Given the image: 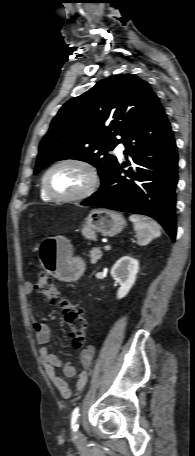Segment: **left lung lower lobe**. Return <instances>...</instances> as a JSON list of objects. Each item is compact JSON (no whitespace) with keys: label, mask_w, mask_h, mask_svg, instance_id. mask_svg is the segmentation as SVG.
Returning <instances> with one entry per match:
<instances>
[{"label":"left lung lower lobe","mask_w":195,"mask_h":456,"mask_svg":"<svg viewBox=\"0 0 195 456\" xmlns=\"http://www.w3.org/2000/svg\"><path fill=\"white\" fill-rule=\"evenodd\" d=\"M135 167L117 162L100 189L81 204L143 214L176 237L175 189L178 155L171 125L158 97L129 129L123 141ZM124 173V175H122Z\"/></svg>","instance_id":"obj_1"}]
</instances>
